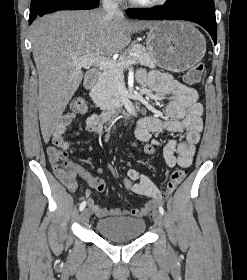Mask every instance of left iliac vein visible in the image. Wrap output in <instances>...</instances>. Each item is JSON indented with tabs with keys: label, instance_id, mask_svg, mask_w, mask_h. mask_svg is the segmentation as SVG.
Here are the masks:
<instances>
[{
	"label": "left iliac vein",
	"instance_id": "4c4485c4",
	"mask_svg": "<svg viewBox=\"0 0 247 280\" xmlns=\"http://www.w3.org/2000/svg\"><path fill=\"white\" fill-rule=\"evenodd\" d=\"M153 220H154V222H155V224L158 226V227H163V217H162V214L159 212V211H157V210H155V211H153Z\"/></svg>",
	"mask_w": 247,
	"mask_h": 280
}]
</instances>
